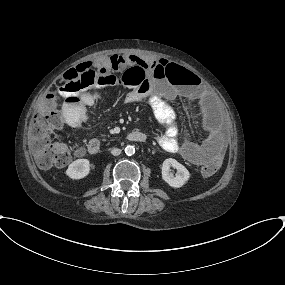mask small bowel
Wrapping results in <instances>:
<instances>
[{
  "mask_svg": "<svg viewBox=\"0 0 285 285\" xmlns=\"http://www.w3.org/2000/svg\"><path fill=\"white\" fill-rule=\"evenodd\" d=\"M123 61L122 65L137 63V60L131 56H126ZM143 62L145 63V70L152 79L151 84L143 92L129 91L125 95V101L135 103L146 100L148 102L153 111L154 118L164 125L163 132L157 137L158 144L167 152L183 154L188 161L201 166H206L217 156L222 155L224 141L220 130L212 122H205L203 125L205 133L203 141L197 142L193 138H187L183 144L181 143L175 112L169 103L159 96L155 89V87L164 86L166 78L159 77L157 68L152 66L151 63ZM174 67L183 71L184 75L178 79H171L172 85L169 84L170 86H187L193 84L195 75L191 70L179 65H175ZM115 85V82L97 79L87 87L62 91L61 94L64 98L63 115L67 124L70 127L81 126L80 120H87L89 108L97 104L101 91L107 86ZM62 87H65L64 83H62ZM173 94L177 96L179 91L173 89Z\"/></svg>",
  "mask_w": 285,
  "mask_h": 285,
  "instance_id": "1",
  "label": "small bowel"
}]
</instances>
